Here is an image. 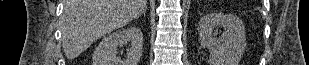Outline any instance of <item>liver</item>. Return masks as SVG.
Returning a JSON list of instances; mask_svg holds the SVG:
<instances>
[{"label": "liver", "instance_id": "1", "mask_svg": "<svg viewBox=\"0 0 309 65\" xmlns=\"http://www.w3.org/2000/svg\"><path fill=\"white\" fill-rule=\"evenodd\" d=\"M62 46L74 59L94 41L139 17L147 0H63Z\"/></svg>", "mask_w": 309, "mask_h": 65}]
</instances>
